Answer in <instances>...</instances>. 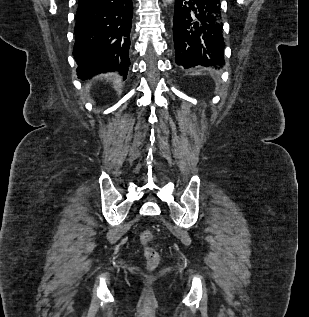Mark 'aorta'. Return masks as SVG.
Returning <instances> with one entry per match:
<instances>
[{
	"instance_id": "obj_1",
	"label": "aorta",
	"mask_w": 309,
	"mask_h": 317,
	"mask_svg": "<svg viewBox=\"0 0 309 317\" xmlns=\"http://www.w3.org/2000/svg\"><path fill=\"white\" fill-rule=\"evenodd\" d=\"M166 3L171 4L174 0H164Z\"/></svg>"
}]
</instances>
